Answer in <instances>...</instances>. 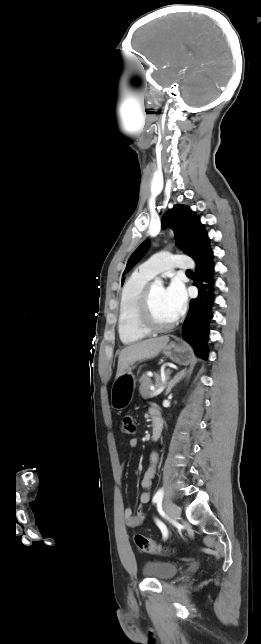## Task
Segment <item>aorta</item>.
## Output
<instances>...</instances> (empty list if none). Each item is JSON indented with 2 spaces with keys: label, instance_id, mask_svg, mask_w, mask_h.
Instances as JSON below:
<instances>
[{
  "label": "aorta",
  "instance_id": "1",
  "mask_svg": "<svg viewBox=\"0 0 261 644\" xmlns=\"http://www.w3.org/2000/svg\"><path fill=\"white\" fill-rule=\"evenodd\" d=\"M154 284H155V285H157V286H161V285H162V281H161V280H159V279H156V280H155V282H154Z\"/></svg>",
  "mask_w": 261,
  "mask_h": 644
}]
</instances>
